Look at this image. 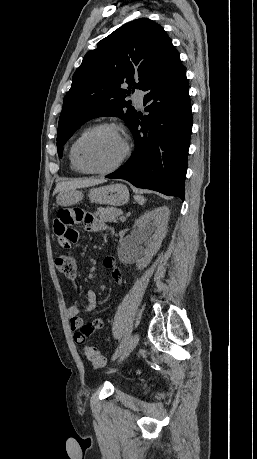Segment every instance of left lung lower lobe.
I'll return each mask as SVG.
<instances>
[{"label": "left lung lower lobe", "mask_w": 257, "mask_h": 459, "mask_svg": "<svg viewBox=\"0 0 257 459\" xmlns=\"http://www.w3.org/2000/svg\"><path fill=\"white\" fill-rule=\"evenodd\" d=\"M143 90L149 115L137 114L130 125L134 153L106 177L184 200L192 113L185 68L175 48Z\"/></svg>", "instance_id": "left-lung-lower-lobe-1"}]
</instances>
